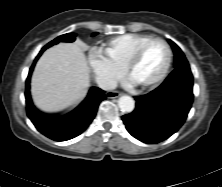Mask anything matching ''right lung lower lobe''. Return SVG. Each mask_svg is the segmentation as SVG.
I'll return each mask as SVG.
<instances>
[{
    "label": "right lung lower lobe",
    "instance_id": "right-lung-lower-lobe-1",
    "mask_svg": "<svg viewBox=\"0 0 222 187\" xmlns=\"http://www.w3.org/2000/svg\"><path fill=\"white\" fill-rule=\"evenodd\" d=\"M47 48L44 46L36 57L26 80L27 115L36 129L43 135L55 141H66L80 135L89 126L97 113L100 102L106 99L105 91L98 87H92L84 101L66 115L53 118L51 115L41 113L35 108L31 100L30 77L37 59Z\"/></svg>",
    "mask_w": 222,
    "mask_h": 187
}]
</instances>
